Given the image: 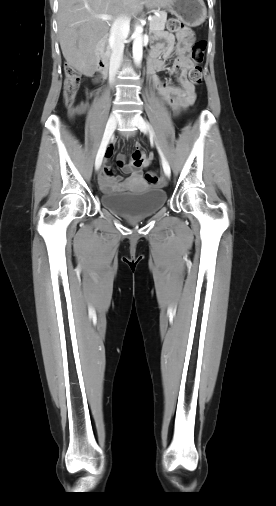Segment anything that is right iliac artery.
Returning a JSON list of instances; mask_svg holds the SVG:
<instances>
[{
    "instance_id": "right-iliac-artery-1",
    "label": "right iliac artery",
    "mask_w": 276,
    "mask_h": 506,
    "mask_svg": "<svg viewBox=\"0 0 276 506\" xmlns=\"http://www.w3.org/2000/svg\"><path fill=\"white\" fill-rule=\"evenodd\" d=\"M103 159V158H102ZM102 159H99L98 161L95 162V167L98 168L100 167L101 163H102Z\"/></svg>"
}]
</instances>
